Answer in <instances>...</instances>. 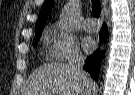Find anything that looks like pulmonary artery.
<instances>
[{
	"label": "pulmonary artery",
	"mask_w": 135,
	"mask_h": 95,
	"mask_svg": "<svg viewBox=\"0 0 135 95\" xmlns=\"http://www.w3.org/2000/svg\"><path fill=\"white\" fill-rule=\"evenodd\" d=\"M83 28L87 32H94L96 30V26H95L93 19H91L89 17L86 18L83 23Z\"/></svg>",
	"instance_id": "obj_1"
}]
</instances>
